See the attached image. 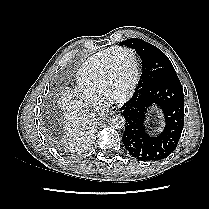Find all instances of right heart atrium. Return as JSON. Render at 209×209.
Here are the masks:
<instances>
[{"mask_svg": "<svg viewBox=\"0 0 209 209\" xmlns=\"http://www.w3.org/2000/svg\"><path fill=\"white\" fill-rule=\"evenodd\" d=\"M79 96H80L83 100H85L86 102H94V101H95L94 97H93L92 95L86 93V92L80 91V92H79Z\"/></svg>", "mask_w": 209, "mask_h": 209, "instance_id": "1", "label": "right heart atrium"}]
</instances>
